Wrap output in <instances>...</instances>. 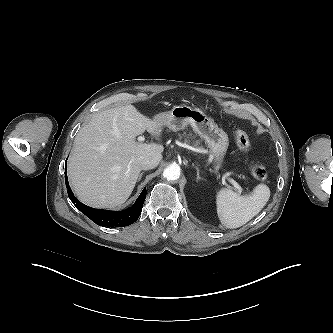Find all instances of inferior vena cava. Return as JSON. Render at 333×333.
<instances>
[{
  "label": "inferior vena cava",
  "instance_id": "602c4592",
  "mask_svg": "<svg viewBox=\"0 0 333 333\" xmlns=\"http://www.w3.org/2000/svg\"><path fill=\"white\" fill-rule=\"evenodd\" d=\"M162 159V155L146 156L141 160V169L148 170L155 168Z\"/></svg>",
  "mask_w": 333,
  "mask_h": 333
}]
</instances>
